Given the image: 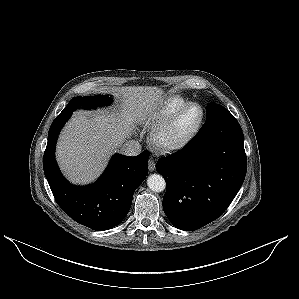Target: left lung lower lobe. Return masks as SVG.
<instances>
[{"instance_id":"left-lung-lower-lobe-1","label":"left lung lower lobe","mask_w":299,"mask_h":299,"mask_svg":"<svg viewBox=\"0 0 299 299\" xmlns=\"http://www.w3.org/2000/svg\"><path fill=\"white\" fill-rule=\"evenodd\" d=\"M166 179L163 209L181 230H197L217 219L241 188L247 171L242 129L222 117L182 150L158 160Z\"/></svg>"}]
</instances>
